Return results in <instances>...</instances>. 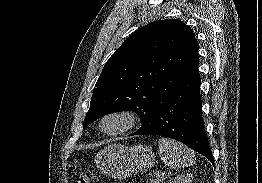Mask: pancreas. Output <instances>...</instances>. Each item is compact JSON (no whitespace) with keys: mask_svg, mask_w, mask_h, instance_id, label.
<instances>
[{"mask_svg":"<svg viewBox=\"0 0 262 183\" xmlns=\"http://www.w3.org/2000/svg\"><path fill=\"white\" fill-rule=\"evenodd\" d=\"M164 175V178H161V176H159L160 178H158V179H152L151 181H150V183H161V182H163L165 179H166V177H165V174H163Z\"/></svg>","mask_w":262,"mask_h":183,"instance_id":"obj_1","label":"pancreas"}]
</instances>
